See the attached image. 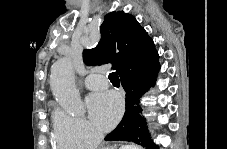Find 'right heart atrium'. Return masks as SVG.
I'll use <instances>...</instances> for the list:
<instances>
[{
	"mask_svg": "<svg viewBox=\"0 0 227 149\" xmlns=\"http://www.w3.org/2000/svg\"><path fill=\"white\" fill-rule=\"evenodd\" d=\"M55 142L59 147L77 149L95 146L101 138L100 133L83 116L56 109L53 115Z\"/></svg>",
	"mask_w": 227,
	"mask_h": 149,
	"instance_id": "obj_1",
	"label": "right heart atrium"
}]
</instances>
